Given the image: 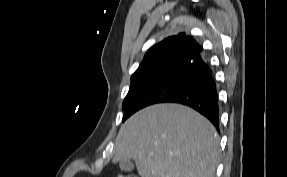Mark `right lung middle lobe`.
Here are the masks:
<instances>
[{"label":"right lung middle lobe","mask_w":287,"mask_h":177,"mask_svg":"<svg viewBox=\"0 0 287 177\" xmlns=\"http://www.w3.org/2000/svg\"><path fill=\"white\" fill-rule=\"evenodd\" d=\"M181 60L168 58L148 67L137 69L131 77V86L126 98L123 101L122 108L127 111L133 102L160 76L181 64ZM128 118V114L124 115L123 121Z\"/></svg>","instance_id":"obj_1"}]
</instances>
